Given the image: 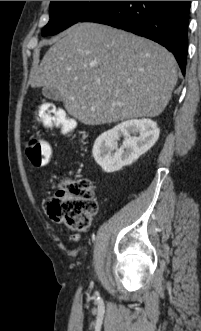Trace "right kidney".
<instances>
[{
  "mask_svg": "<svg viewBox=\"0 0 201 331\" xmlns=\"http://www.w3.org/2000/svg\"><path fill=\"white\" fill-rule=\"evenodd\" d=\"M159 133L157 123L151 119L124 121L96 139L92 149L93 157L104 172L119 171L146 153L158 140ZM121 136L125 141L118 147L117 141Z\"/></svg>",
  "mask_w": 201,
  "mask_h": 331,
  "instance_id": "ca27d5eb",
  "label": "right kidney"
}]
</instances>
